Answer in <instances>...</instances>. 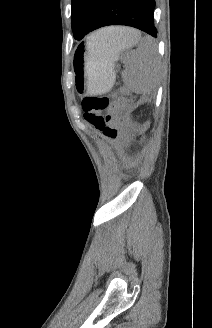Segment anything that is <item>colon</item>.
<instances>
[{
    "instance_id": "obj_1",
    "label": "colon",
    "mask_w": 212,
    "mask_h": 328,
    "mask_svg": "<svg viewBox=\"0 0 212 328\" xmlns=\"http://www.w3.org/2000/svg\"><path fill=\"white\" fill-rule=\"evenodd\" d=\"M120 97L111 99L106 95H89L83 99L84 118L109 140H115L123 131L116 113L124 106Z\"/></svg>"
}]
</instances>
